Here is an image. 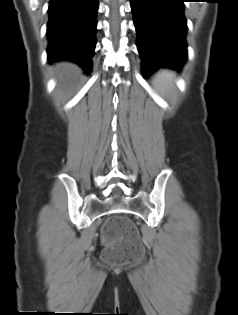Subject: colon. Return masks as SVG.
I'll use <instances>...</instances> for the list:
<instances>
[{
	"label": "colon",
	"instance_id": "5ec220e1",
	"mask_svg": "<svg viewBox=\"0 0 238 315\" xmlns=\"http://www.w3.org/2000/svg\"><path fill=\"white\" fill-rule=\"evenodd\" d=\"M102 240L106 244L103 258L107 263L122 265L139 260L144 253L135 224L126 216H112L104 224Z\"/></svg>",
	"mask_w": 238,
	"mask_h": 315
}]
</instances>
